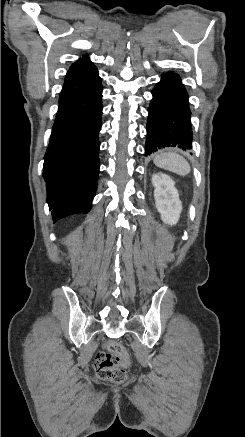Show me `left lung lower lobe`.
I'll return each mask as SVG.
<instances>
[{"label": "left lung lower lobe", "mask_w": 245, "mask_h": 437, "mask_svg": "<svg viewBox=\"0 0 245 437\" xmlns=\"http://www.w3.org/2000/svg\"><path fill=\"white\" fill-rule=\"evenodd\" d=\"M161 78L148 108L146 155L166 147L192 148L188 93L178 74L168 71Z\"/></svg>", "instance_id": "1"}]
</instances>
